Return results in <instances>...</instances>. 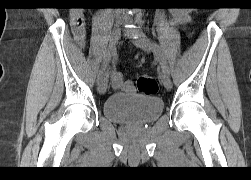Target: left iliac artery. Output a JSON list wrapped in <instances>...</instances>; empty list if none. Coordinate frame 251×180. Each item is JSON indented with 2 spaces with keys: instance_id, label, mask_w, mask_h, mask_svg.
<instances>
[{
  "instance_id": "44dca946",
  "label": "left iliac artery",
  "mask_w": 251,
  "mask_h": 180,
  "mask_svg": "<svg viewBox=\"0 0 251 180\" xmlns=\"http://www.w3.org/2000/svg\"><path fill=\"white\" fill-rule=\"evenodd\" d=\"M151 45H152L153 52L155 53L158 60L160 61L162 71L166 74H169L168 66H167L166 61L164 59L161 47L155 41H152Z\"/></svg>"
}]
</instances>
